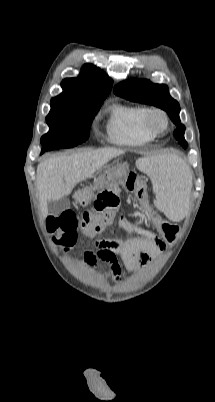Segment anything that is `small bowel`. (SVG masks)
I'll list each match as a JSON object with an SVG mask.
<instances>
[{"mask_svg": "<svg viewBox=\"0 0 215 402\" xmlns=\"http://www.w3.org/2000/svg\"><path fill=\"white\" fill-rule=\"evenodd\" d=\"M120 228L126 233L136 232L138 236L128 240L119 238L98 240L95 243L97 251H87L84 254V261L91 267H95L99 260L109 264V271L116 282L119 281L121 273L118 256L125 261L130 272H135L166 248L163 238L150 229L130 222Z\"/></svg>", "mask_w": 215, "mask_h": 402, "instance_id": "small-bowel-1", "label": "small bowel"}]
</instances>
